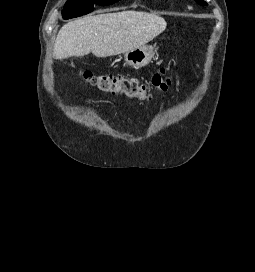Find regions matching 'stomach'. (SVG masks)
<instances>
[{
    "instance_id": "0dacf381",
    "label": "stomach",
    "mask_w": 255,
    "mask_h": 272,
    "mask_svg": "<svg viewBox=\"0 0 255 272\" xmlns=\"http://www.w3.org/2000/svg\"><path fill=\"white\" fill-rule=\"evenodd\" d=\"M155 53L156 49L151 46L144 45L135 48L125 53V64L133 68L144 67L151 62L152 58H154Z\"/></svg>"
}]
</instances>
